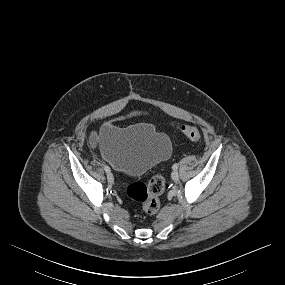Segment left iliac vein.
<instances>
[{
	"label": "left iliac vein",
	"mask_w": 285,
	"mask_h": 285,
	"mask_svg": "<svg viewBox=\"0 0 285 285\" xmlns=\"http://www.w3.org/2000/svg\"><path fill=\"white\" fill-rule=\"evenodd\" d=\"M171 178L174 180V181H178L179 180V173L178 171L174 170L171 174Z\"/></svg>",
	"instance_id": "left-iliac-vein-1"
}]
</instances>
